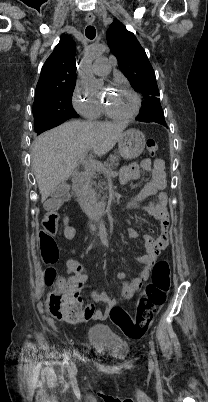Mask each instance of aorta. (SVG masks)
I'll return each mask as SVG.
<instances>
[{"mask_svg": "<svg viewBox=\"0 0 208 402\" xmlns=\"http://www.w3.org/2000/svg\"><path fill=\"white\" fill-rule=\"evenodd\" d=\"M99 228L97 230V233L99 235V243L103 248H106L108 246V235L106 232L107 226L106 222L103 220V218H99Z\"/></svg>", "mask_w": 208, "mask_h": 402, "instance_id": "762f6f07", "label": "aorta"}]
</instances>
